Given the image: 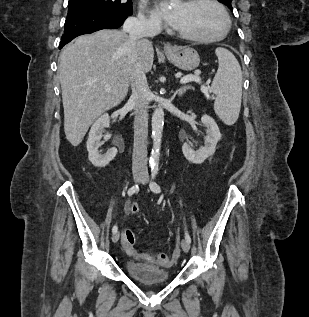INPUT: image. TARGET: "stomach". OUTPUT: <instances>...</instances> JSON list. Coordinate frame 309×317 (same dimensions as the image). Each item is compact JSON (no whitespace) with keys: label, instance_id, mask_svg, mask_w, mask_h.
Masks as SVG:
<instances>
[{"label":"stomach","instance_id":"1","mask_svg":"<svg viewBox=\"0 0 309 317\" xmlns=\"http://www.w3.org/2000/svg\"><path fill=\"white\" fill-rule=\"evenodd\" d=\"M166 56L176 67L185 71L195 69L200 63L197 51L190 47H173L166 51Z\"/></svg>","mask_w":309,"mask_h":317}]
</instances>
